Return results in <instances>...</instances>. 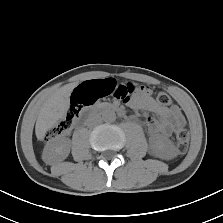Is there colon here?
Segmentation results:
<instances>
[{"mask_svg": "<svg viewBox=\"0 0 223 223\" xmlns=\"http://www.w3.org/2000/svg\"><path fill=\"white\" fill-rule=\"evenodd\" d=\"M136 88L132 83L117 84L108 78L102 81L91 80L83 82L75 87L70 96V107L63 119L57 123L49 132L48 137L65 135L72 127L81 109L95 103L98 99L113 96L122 101H128ZM157 102L161 106H169L172 102L166 93L157 95ZM177 150L184 154L189 148V134L186 130L180 129L176 133Z\"/></svg>", "mask_w": 223, "mask_h": 223, "instance_id": "colon-1", "label": "colon"}]
</instances>
